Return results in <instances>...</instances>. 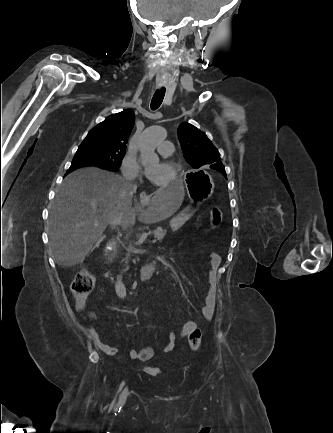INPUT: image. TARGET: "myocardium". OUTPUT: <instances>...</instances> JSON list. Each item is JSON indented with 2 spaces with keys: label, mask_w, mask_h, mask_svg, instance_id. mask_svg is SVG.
Returning a JSON list of instances; mask_svg holds the SVG:
<instances>
[{
  "label": "myocardium",
  "mask_w": 333,
  "mask_h": 433,
  "mask_svg": "<svg viewBox=\"0 0 333 433\" xmlns=\"http://www.w3.org/2000/svg\"><path fill=\"white\" fill-rule=\"evenodd\" d=\"M164 163L170 168L171 175L167 181L162 182V183H156V185L161 187V188L172 186L176 182L177 171H178V166L176 163H174L170 160H165Z\"/></svg>",
  "instance_id": "myocardium-1"
}]
</instances>
